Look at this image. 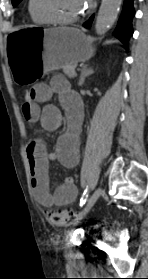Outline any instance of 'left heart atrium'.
Segmentation results:
<instances>
[{
    "mask_svg": "<svg viewBox=\"0 0 148 279\" xmlns=\"http://www.w3.org/2000/svg\"><path fill=\"white\" fill-rule=\"evenodd\" d=\"M91 1L92 0H82V3L84 6H88V5H90Z\"/></svg>",
    "mask_w": 148,
    "mask_h": 279,
    "instance_id": "1",
    "label": "left heart atrium"
}]
</instances>
